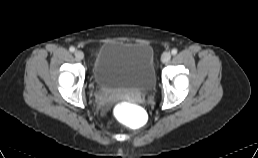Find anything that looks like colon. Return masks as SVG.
Returning a JSON list of instances; mask_svg holds the SVG:
<instances>
[{"mask_svg": "<svg viewBox=\"0 0 258 158\" xmlns=\"http://www.w3.org/2000/svg\"><path fill=\"white\" fill-rule=\"evenodd\" d=\"M123 104L122 103H117L116 105H115V108H114V110H115V113L116 114H120L121 113V110L123 109Z\"/></svg>", "mask_w": 258, "mask_h": 158, "instance_id": "obj_1", "label": "colon"}]
</instances>
